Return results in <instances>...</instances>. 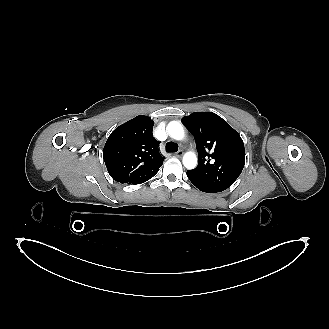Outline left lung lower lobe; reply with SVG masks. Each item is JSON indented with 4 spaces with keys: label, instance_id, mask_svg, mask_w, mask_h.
Instances as JSON below:
<instances>
[{
    "label": "left lung lower lobe",
    "instance_id": "1",
    "mask_svg": "<svg viewBox=\"0 0 329 329\" xmlns=\"http://www.w3.org/2000/svg\"><path fill=\"white\" fill-rule=\"evenodd\" d=\"M187 176L189 178V180L201 191L206 192V193H217V192H221L222 190L210 186L202 181H200L199 179L195 178L190 172L189 170L187 171Z\"/></svg>",
    "mask_w": 329,
    "mask_h": 329
}]
</instances>
